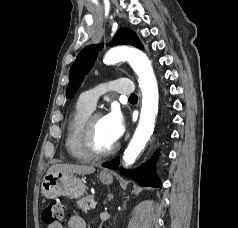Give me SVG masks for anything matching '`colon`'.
<instances>
[{
    "label": "colon",
    "instance_id": "obj_1",
    "mask_svg": "<svg viewBox=\"0 0 238 228\" xmlns=\"http://www.w3.org/2000/svg\"><path fill=\"white\" fill-rule=\"evenodd\" d=\"M65 218L64 205L58 200L50 202L42 211V220L46 225L62 224Z\"/></svg>",
    "mask_w": 238,
    "mask_h": 228
}]
</instances>
